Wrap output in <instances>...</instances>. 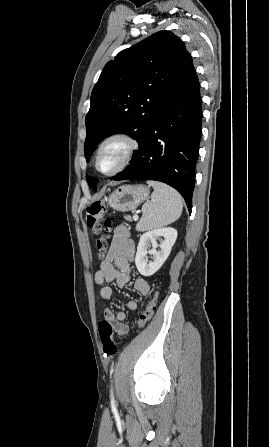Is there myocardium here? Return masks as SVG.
<instances>
[{"label":"myocardium","instance_id":"myocardium-1","mask_svg":"<svg viewBox=\"0 0 269 447\" xmlns=\"http://www.w3.org/2000/svg\"><path fill=\"white\" fill-rule=\"evenodd\" d=\"M115 140H122L127 144V149H126L125 155H124L123 159L121 160V162L116 167H114L113 169H111L109 171H101L98 166L100 154H101L102 150L109 143H111L112 141H115ZM139 147H140L139 140L132 134L125 133V132H117V133L111 134L100 144L99 148L97 149L96 158H95L96 169L104 175H112V174H115V173L125 169L133 160Z\"/></svg>","mask_w":269,"mask_h":447}]
</instances>
